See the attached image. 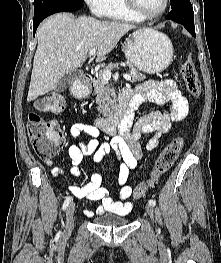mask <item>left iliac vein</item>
I'll list each match as a JSON object with an SVG mask.
<instances>
[{
    "label": "left iliac vein",
    "instance_id": "left-iliac-vein-1",
    "mask_svg": "<svg viewBox=\"0 0 221 263\" xmlns=\"http://www.w3.org/2000/svg\"><path fill=\"white\" fill-rule=\"evenodd\" d=\"M146 211H147L148 215L151 217V219L153 220L154 219V208H153V206L150 204H147L146 205Z\"/></svg>",
    "mask_w": 221,
    "mask_h": 263
}]
</instances>
